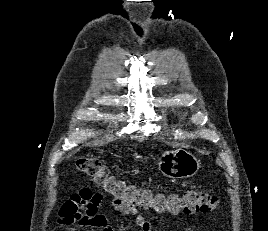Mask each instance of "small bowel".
Returning a JSON list of instances; mask_svg holds the SVG:
<instances>
[{
  "mask_svg": "<svg viewBox=\"0 0 268 231\" xmlns=\"http://www.w3.org/2000/svg\"><path fill=\"white\" fill-rule=\"evenodd\" d=\"M81 191L88 192V196L82 197L80 195ZM81 191L72 195L62 204L58 213L57 223L62 226L114 231L108 217L99 212L104 202L102 194L87 187ZM113 207L122 215L132 216L134 222L142 231H156L152 223L140 214L136 208L122 211L116 204H113ZM186 231H193V229L188 228Z\"/></svg>",
  "mask_w": 268,
  "mask_h": 231,
  "instance_id": "c3829d8e",
  "label": "small bowel"
}]
</instances>
